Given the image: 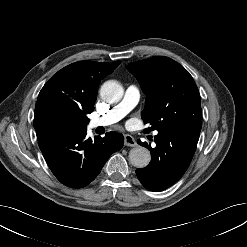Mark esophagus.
Returning a JSON list of instances; mask_svg holds the SVG:
<instances>
[{
    "mask_svg": "<svg viewBox=\"0 0 247 247\" xmlns=\"http://www.w3.org/2000/svg\"><path fill=\"white\" fill-rule=\"evenodd\" d=\"M124 144L129 147H135L137 146L136 140L129 134H126L124 136Z\"/></svg>",
    "mask_w": 247,
    "mask_h": 247,
    "instance_id": "esophagus-1",
    "label": "esophagus"
}]
</instances>
